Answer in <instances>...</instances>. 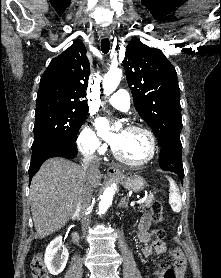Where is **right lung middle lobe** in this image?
Returning a JSON list of instances; mask_svg holds the SVG:
<instances>
[{
	"mask_svg": "<svg viewBox=\"0 0 221 278\" xmlns=\"http://www.w3.org/2000/svg\"><path fill=\"white\" fill-rule=\"evenodd\" d=\"M88 111L64 107L36 108L32 148L54 138L76 141Z\"/></svg>",
	"mask_w": 221,
	"mask_h": 278,
	"instance_id": "right-lung-middle-lobe-1",
	"label": "right lung middle lobe"
}]
</instances>
